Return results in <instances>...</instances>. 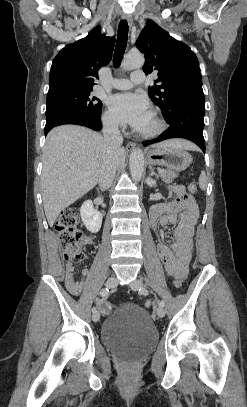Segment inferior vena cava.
<instances>
[{"label":"inferior vena cava","instance_id":"inferior-vena-cava-1","mask_svg":"<svg viewBox=\"0 0 247 407\" xmlns=\"http://www.w3.org/2000/svg\"><path fill=\"white\" fill-rule=\"evenodd\" d=\"M103 136L107 147V155L101 168L98 183L101 190H107L112 184L117 168V163L112 157V154L121 147L123 137L118 128V123L111 120L104 122Z\"/></svg>","mask_w":247,"mask_h":407}]
</instances>
